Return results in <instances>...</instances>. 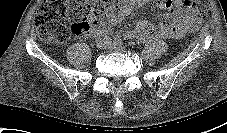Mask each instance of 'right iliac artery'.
Wrapping results in <instances>:
<instances>
[{
  "mask_svg": "<svg viewBox=\"0 0 227 133\" xmlns=\"http://www.w3.org/2000/svg\"><path fill=\"white\" fill-rule=\"evenodd\" d=\"M105 41H107L108 43H110L111 42V39H110V37L109 36H104V38H103Z\"/></svg>",
  "mask_w": 227,
  "mask_h": 133,
  "instance_id": "1",
  "label": "right iliac artery"
}]
</instances>
